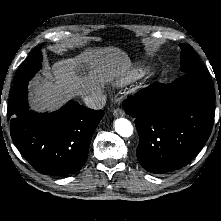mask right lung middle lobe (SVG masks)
Listing matches in <instances>:
<instances>
[{"label":"right lung middle lobe","instance_id":"1","mask_svg":"<svg viewBox=\"0 0 221 221\" xmlns=\"http://www.w3.org/2000/svg\"><path fill=\"white\" fill-rule=\"evenodd\" d=\"M41 46H36L29 56L24 60L15 77L14 85L22 84L29 81L34 74L41 68Z\"/></svg>","mask_w":221,"mask_h":221}]
</instances>
